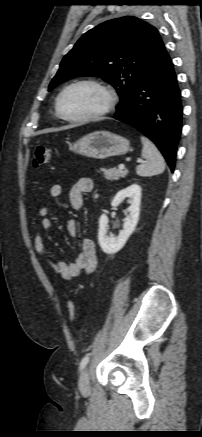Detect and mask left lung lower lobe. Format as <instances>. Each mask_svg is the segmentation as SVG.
I'll list each match as a JSON object with an SVG mask.
<instances>
[{
  "instance_id": "1",
  "label": "left lung lower lobe",
  "mask_w": 202,
  "mask_h": 437,
  "mask_svg": "<svg viewBox=\"0 0 202 437\" xmlns=\"http://www.w3.org/2000/svg\"><path fill=\"white\" fill-rule=\"evenodd\" d=\"M115 119L150 138L174 171L182 130L181 93L168 53L162 63L117 108Z\"/></svg>"
}]
</instances>
